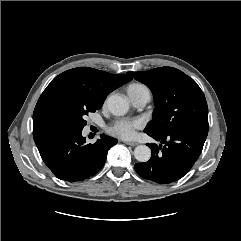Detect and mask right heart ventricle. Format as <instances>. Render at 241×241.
<instances>
[{
	"label": "right heart ventricle",
	"mask_w": 241,
	"mask_h": 241,
	"mask_svg": "<svg viewBox=\"0 0 241 241\" xmlns=\"http://www.w3.org/2000/svg\"><path fill=\"white\" fill-rule=\"evenodd\" d=\"M146 86L140 83L131 84L128 88V91L138 90V89H145Z\"/></svg>",
	"instance_id": "e07e8e85"
}]
</instances>
